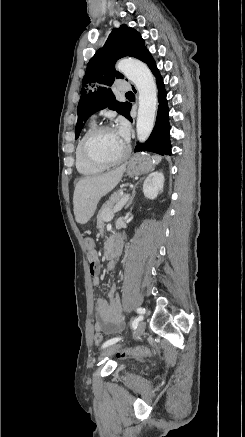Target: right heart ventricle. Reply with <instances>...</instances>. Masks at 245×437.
Here are the masks:
<instances>
[{
  "label": "right heart ventricle",
  "mask_w": 245,
  "mask_h": 437,
  "mask_svg": "<svg viewBox=\"0 0 245 437\" xmlns=\"http://www.w3.org/2000/svg\"><path fill=\"white\" fill-rule=\"evenodd\" d=\"M93 127H95L93 122H90L87 129L84 131V133L79 138L76 148H75V166L77 171L84 175V176H92L100 174L104 171V167L96 166L89 161L86 160V158L83 155L82 152V141L84 136L87 134L88 131H90Z\"/></svg>",
  "instance_id": "obj_1"
}]
</instances>
